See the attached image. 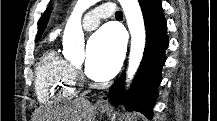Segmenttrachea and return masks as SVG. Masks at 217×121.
Instances as JSON below:
<instances>
[{
  "mask_svg": "<svg viewBox=\"0 0 217 121\" xmlns=\"http://www.w3.org/2000/svg\"><path fill=\"white\" fill-rule=\"evenodd\" d=\"M116 17H122L123 13L121 11H117L115 14Z\"/></svg>",
  "mask_w": 217,
  "mask_h": 121,
  "instance_id": "obj_1",
  "label": "trachea"
}]
</instances>
